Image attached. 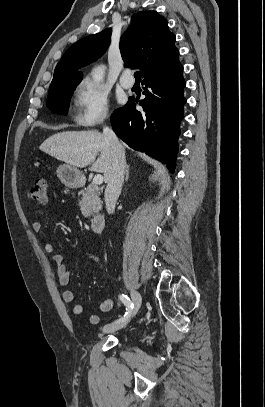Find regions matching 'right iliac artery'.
<instances>
[{
  "label": "right iliac artery",
  "mask_w": 265,
  "mask_h": 407,
  "mask_svg": "<svg viewBox=\"0 0 265 407\" xmlns=\"http://www.w3.org/2000/svg\"><path fill=\"white\" fill-rule=\"evenodd\" d=\"M119 298L122 301V303L126 306L127 312L125 313L124 317L119 319L117 322H121V321L126 320L130 316L131 311H132V309L134 307L133 303L131 302V300H130V298L128 296L122 294V295L119 296Z\"/></svg>",
  "instance_id": "1"
}]
</instances>
